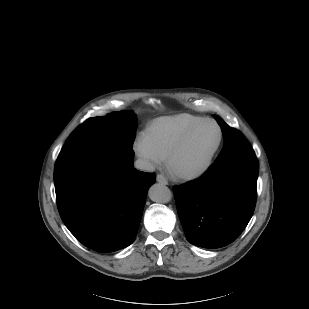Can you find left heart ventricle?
<instances>
[{
	"instance_id": "1",
	"label": "left heart ventricle",
	"mask_w": 309,
	"mask_h": 309,
	"mask_svg": "<svg viewBox=\"0 0 309 309\" xmlns=\"http://www.w3.org/2000/svg\"><path fill=\"white\" fill-rule=\"evenodd\" d=\"M218 136V128L213 123H206L199 127L176 156L174 166L187 171L202 166L213 150Z\"/></svg>"
}]
</instances>
